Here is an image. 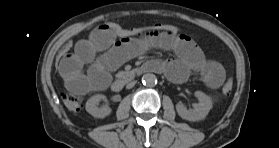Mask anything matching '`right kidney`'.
Wrapping results in <instances>:
<instances>
[{
	"mask_svg": "<svg viewBox=\"0 0 279 148\" xmlns=\"http://www.w3.org/2000/svg\"><path fill=\"white\" fill-rule=\"evenodd\" d=\"M100 100L107 102V99L104 95L96 94L90 97L85 105L86 111L95 118H105L111 113V109L107 105L101 108L97 106Z\"/></svg>",
	"mask_w": 279,
	"mask_h": 148,
	"instance_id": "1",
	"label": "right kidney"
}]
</instances>
